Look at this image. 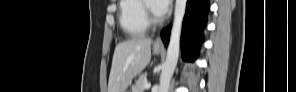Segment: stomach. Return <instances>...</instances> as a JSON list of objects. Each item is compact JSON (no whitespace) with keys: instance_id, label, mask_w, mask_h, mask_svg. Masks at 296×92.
<instances>
[{"instance_id":"0dacf381","label":"stomach","mask_w":296,"mask_h":92,"mask_svg":"<svg viewBox=\"0 0 296 92\" xmlns=\"http://www.w3.org/2000/svg\"><path fill=\"white\" fill-rule=\"evenodd\" d=\"M153 51H154L155 54H159V53L161 52V49H159V48H154ZM125 92H126V91H125Z\"/></svg>"}]
</instances>
